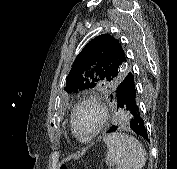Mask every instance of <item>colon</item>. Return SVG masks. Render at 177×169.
<instances>
[{
  "label": "colon",
  "mask_w": 177,
  "mask_h": 169,
  "mask_svg": "<svg viewBox=\"0 0 177 169\" xmlns=\"http://www.w3.org/2000/svg\"><path fill=\"white\" fill-rule=\"evenodd\" d=\"M61 169H70V168H68L66 166H62Z\"/></svg>",
  "instance_id": "1"
}]
</instances>
